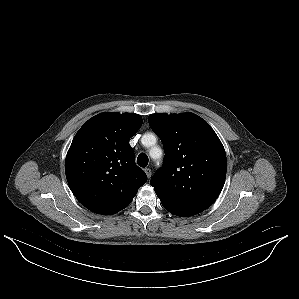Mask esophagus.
Returning <instances> with one entry per match:
<instances>
[{
  "label": "esophagus",
  "instance_id": "34e87169",
  "mask_svg": "<svg viewBox=\"0 0 299 299\" xmlns=\"http://www.w3.org/2000/svg\"><path fill=\"white\" fill-rule=\"evenodd\" d=\"M145 173H146L148 179H149V178L151 177V175H152V171H151L150 168H145Z\"/></svg>",
  "mask_w": 299,
  "mask_h": 299
}]
</instances>
